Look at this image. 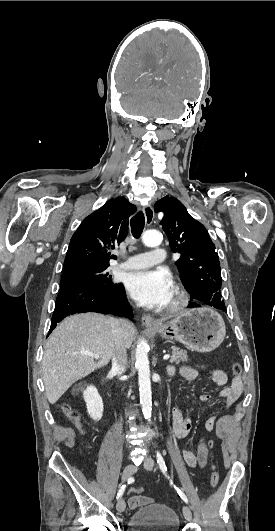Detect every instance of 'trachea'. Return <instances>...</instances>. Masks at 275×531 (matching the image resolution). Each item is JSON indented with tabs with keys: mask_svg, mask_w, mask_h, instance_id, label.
<instances>
[{
	"mask_svg": "<svg viewBox=\"0 0 275 531\" xmlns=\"http://www.w3.org/2000/svg\"><path fill=\"white\" fill-rule=\"evenodd\" d=\"M145 225V217L143 212H138L130 221L132 235L139 238Z\"/></svg>",
	"mask_w": 275,
	"mask_h": 531,
	"instance_id": "1",
	"label": "trachea"
}]
</instances>
